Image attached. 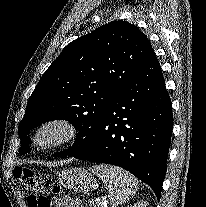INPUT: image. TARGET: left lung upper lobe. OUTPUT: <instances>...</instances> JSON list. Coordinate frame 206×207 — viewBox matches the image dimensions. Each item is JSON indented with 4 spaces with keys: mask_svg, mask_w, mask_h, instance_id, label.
Segmentation results:
<instances>
[{
    "mask_svg": "<svg viewBox=\"0 0 206 207\" xmlns=\"http://www.w3.org/2000/svg\"><path fill=\"white\" fill-rule=\"evenodd\" d=\"M153 54L146 35L122 20L105 24L68 44L28 101L18 130L19 153L30 152L27 132L52 120H68L79 131L74 145L54 156L86 149L109 104Z\"/></svg>",
    "mask_w": 206,
    "mask_h": 207,
    "instance_id": "left-lung-upper-lobe-1",
    "label": "left lung upper lobe"
}]
</instances>
